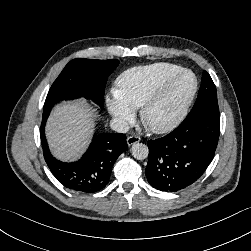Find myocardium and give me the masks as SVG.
Returning a JSON list of instances; mask_svg holds the SVG:
<instances>
[{
	"instance_id": "obj_1",
	"label": "myocardium",
	"mask_w": 251,
	"mask_h": 251,
	"mask_svg": "<svg viewBox=\"0 0 251 251\" xmlns=\"http://www.w3.org/2000/svg\"><path fill=\"white\" fill-rule=\"evenodd\" d=\"M183 75H190L193 79V84L190 92L185 98L182 106L178 110V112L166 123L160 125H153L147 122V115L149 110L158 103L167 91L171 88V86ZM198 90V79L196 75L189 69H181L180 71L172 74L163 80L145 99L143 104L140 107V119L145 127L157 134H164L175 129L186 117L191 107V104L195 98V95Z\"/></svg>"
}]
</instances>
